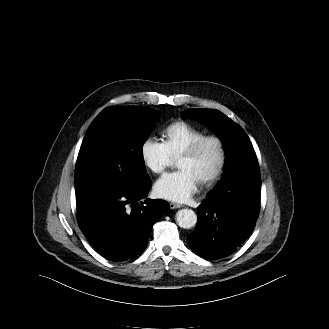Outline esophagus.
Here are the masks:
<instances>
[{"instance_id": "34e87169", "label": "esophagus", "mask_w": 329, "mask_h": 329, "mask_svg": "<svg viewBox=\"0 0 329 329\" xmlns=\"http://www.w3.org/2000/svg\"><path fill=\"white\" fill-rule=\"evenodd\" d=\"M169 206H170L171 209H177V208L182 207L181 204L173 203V202H171V203L169 204Z\"/></svg>"}]
</instances>
